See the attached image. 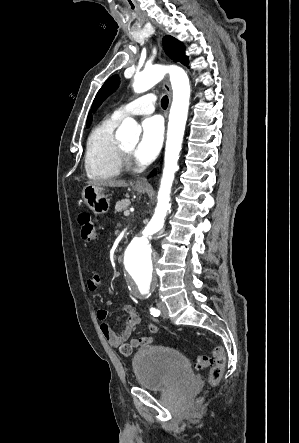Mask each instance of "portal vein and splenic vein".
Wrapping results in <instances>:
<instances>
[{
	"label": "portal vein and splenic vein",
	"instance_id": "18ae733b",
	"mask_svg": "<svg viewBox=\"0 0 299 443\" xmlns=\"http://www.w3.org/2000/svg\"><path fill=\"white\" fill-rule=\"evenodd\" d=\"M129 215H130V211H127V210H126V211L124 212V216H125V217H128Z\"/></svg>",
	"mask_w": 299,
	"mask_h": 443
}]
</instances>
